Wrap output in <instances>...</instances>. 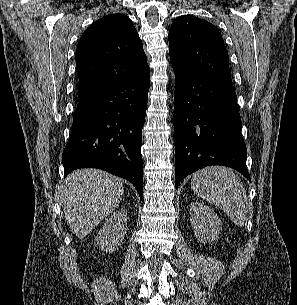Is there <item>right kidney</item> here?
<instances>
[{
  "instance_id": "1",
  "label": "right kidney",
  "mask_w": 297,
  "mask_h": 305,
  "mask_svg": "<svg viewBox=\"0 0 297 305\" xmlns=\"http://www.w3.org/2000/svg\"><path fill=\"white\" fill-rule=\"evenodd\" d=\"M127 227V211L121 209L106 220L94 243L102 251L113 252L121 245Z\"/></svg>"
}]
</instances>
